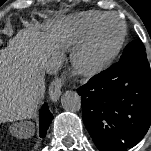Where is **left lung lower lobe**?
I'll return each mask as SVG.
<instances>
[{
  "mask_svg": "<svg viewBox=\"0 0 151 151\" xmlns=\"http://www.w3.org/2000/svg\"><path fill=\"white\" fill-rule=\"evenodd\" d=\"M84 124L100 151L135 146L151 123V70L146 56L119 61L77 89Z\"/></svg>",
  "mask_w": 151,
  "mask_h": 151,
  "instance_id": "1",
  "label": "left lung lower lobe"
}]
</instances>
